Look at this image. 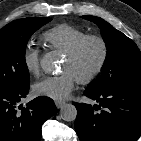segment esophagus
Instances as JSON below:
<instances>
[{
    "mask_svg": "<svg viewBox=\"0 0 141 141\" xmlns=\"http://www.w3.org/2000/svg\"><path fill=\"white\" fill-rule=\"evenodd\" d=\"M65 104L64 101H55V105L58 109L62 108Z\"/></svg>",
    "mask_w": 141,
    "mask_h": 141,
    "instance_id": "1",
    "label": "esophagus"
}]
</instances>
